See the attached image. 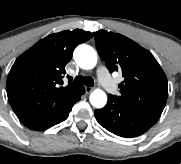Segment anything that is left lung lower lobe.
Masks as SVG:
<instances>
[{
    "mask_svg": "<svg viewBox=\"0 0 181 164\" xmlns=\"http://www.w3.org/2000/svg\"><path fill=\"white\" fill-rule=\"evenodd\" d=\"M96 120L115 135L133 138L149 130L159 119L152 113L121 103L109 96L107 105L95 110Z\"/></svg>",
    "mask_w": 181,
    "mask_h": 164,
    "instance_id": "1",
    "label": "left lung lower lobe"
}]
</instances>
